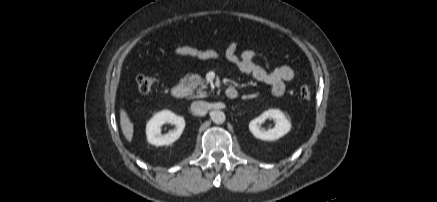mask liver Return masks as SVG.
Returning a JSON list of instances; mask_svg holds the SVG:
<instances>
[{
	"label": "liver",
	"mask_w": 437,
	"mask_h": 202,
	"mask_svg": "<svg viewBox=\"0 0 437 202\" xmlns=\"http://www.w3.org/2000/svg\"><path fill=\"white\" fill-rule=\"evenodd\" d=\"M120 126L126 140L131 142L133 138L134 125L124 109H120Z\"/></svg>",
	"instance_id": "1"
}]
</instances>
